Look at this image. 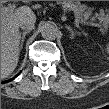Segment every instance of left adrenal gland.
I'll return each instance as SVG.
<instances>
[{"mask_svg":"<svg viewBox=\"0 0 109 109\" xmlns=\"http://www.w3.org/2000/svg\"><path fill=\"white\" fill-rule=\"evenodd\" d=\"M65 27L70 31V33H71V39L74 38L75 33L79 34L78 31H74L70 26L66 25Z\"/></svg>","mask_w":109,"mask_h":109,"instance_id":"obj_1","label":"left adrenal gland"}]
</instances>
